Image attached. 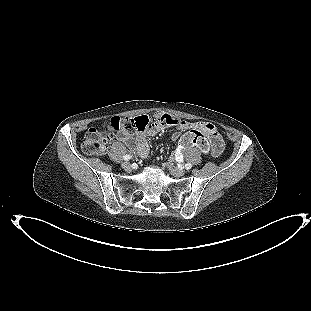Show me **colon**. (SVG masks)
<instances>
[{"label": "colon", "instance_id": "1", "mask_svg": "<svg viewBox=\"0 0 311 311\" xmlns=\"http://www.w3.org/2000/svg\"><path fill=\"white\" fill-rule=\"evenodd\" d=\"M185 121L176 118L167 113H157L154 116V120H151L146 115L137 117H115L110 122L102 125L99 128L89 129L82 142V150L86 154L100 155L106 151L107 143L113 136V134H129L134 132H143L150 126H183ZM195 145L202 150L207 148V141L203 135L196 131H190L180 142L181 148Z\"/></svg>", "mask_w": 311, "mask_h": 311}]
</instances>
